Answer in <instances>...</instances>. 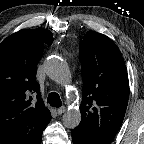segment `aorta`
Wrapping results in <instances>:
<instances>
[{
    "mask_svg": "<svg viewBox=\"0 0 144 144\" xmlns=\"http://www.w3.org/2000/svg\"><path fill=\"white\" fill-rule=\"evenodd\" d=\"M45 68L47 76L55 82L62 83L69 78L70 73L67 64L57 57L48 59ZM80 121L81 112L77 108L68 109L63 114L62 122L63 125L67 128H76L79 125Z\"/></svg>",
    "mask_w": 144,
    "mask_h": 144,
    "instance_id": "aorta-1",
    "label": "aorta"
}]
</instances>
